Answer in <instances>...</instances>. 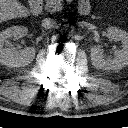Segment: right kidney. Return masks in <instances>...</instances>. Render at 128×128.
Here are the masks:
<instances>
[{"label":"right kidney","mask_w":128,"mask_h":128,"mask_svg":"<svg viewBox=\"0 0 128 128\" xmlns=\"http://www.w3.org/2000/svg\"><path fill=\"white\" fill-rule=\"evenodd\" d=\"M28 29L24 26H12L0 32V63L8 67H24L35 58V48L27 47L17 51L15 47L5 46L9 38L20 39L27 35Z\"/></svg>","instance_id":"right-kidney-1"}]
</instances>
